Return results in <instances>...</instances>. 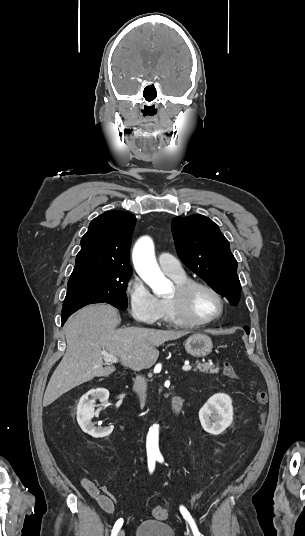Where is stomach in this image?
Instances as JSON below:
<instances>
[{
  "mask_svg": "<svg viewBox=\"0 0 305 536\" xmlns=\"http://www.w3.org/2000/svg\"><path fill=\"white\" fill-rule=\"evenodd\" d=\"M213 348L212 340L205 334H193L185 342V350L190 356L195 358H205L211 354Z\"/></svg>",
  "mask_w": 305,
  "mask_h": 536,
  "instance_id": "obj_1",
  "label": "stomach"
}]
</instances>
